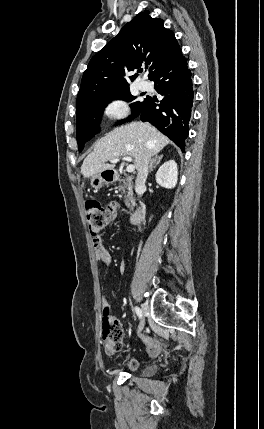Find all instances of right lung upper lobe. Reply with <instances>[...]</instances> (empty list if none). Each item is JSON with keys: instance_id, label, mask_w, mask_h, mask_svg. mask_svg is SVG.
Returning a JSON list of instances; mask_svg holds the SVG:
<instances>
[{"instance_id": "obj_1", "label": "right lung upper lobe", "mask_w": 264, "mask_h": 429, "mask_svg": "<svg viewBox=\"0 0 264 429\" xmlns=\"http://www.w3.org/2000/svg\"><path fill=\"white\" fill-rule=\"evenodd\" d=\"M149 14V11H143L135 16L92 57L82 77L77 107L128 89L125 68L131 71L145 64L151 79L181 50L174 33L163 26V20ZM136 77L137 74L131 76V81Z\"/></svg>"}]
</instances>
